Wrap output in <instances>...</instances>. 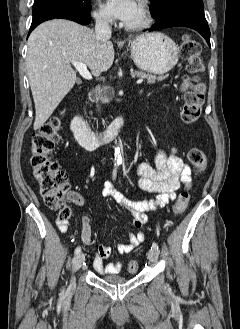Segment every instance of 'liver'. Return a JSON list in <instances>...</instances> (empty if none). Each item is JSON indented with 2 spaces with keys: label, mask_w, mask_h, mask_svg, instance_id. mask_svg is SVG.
Here are the masks:
<instances>
[{
  "label": "liver",
  "mask_w": 240,
  "mask_h": 329,
  "mask_svg": "<svg viewBox=\"0 0 240 329\" xmlns=\"http://www.w3.org/2000/svg\"><path fill=\"white\" fill-rule=\"evenodd\" d=\"M109 40H97L93 30L75 22L55 19L39 25L29 36L27 75L39 129L76 82L70 63L88 66L93 75L107 71L114 61Z\"/></svg>",
  "instance_id": "liver-1"
}]
</instances>
